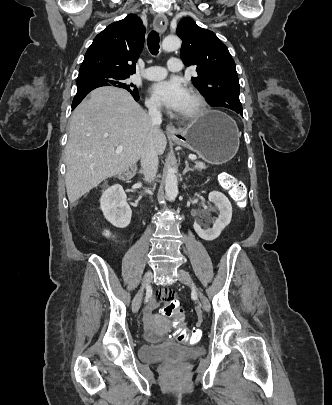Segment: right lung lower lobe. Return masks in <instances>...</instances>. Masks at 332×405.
I'll return each mask as SVG.
<instances>
[{
	"instance_id": "98d812e1",
	"label": "right lung lower lobe",
	"mask_w": 332,
	"mask_h": 405,
	"mask_svg": "<svg viewBox=\"0 0 332 405\" xmlns=\"http://www.w3.org/2000/svg\"><path fill=\"white\" fill-rule=\"evenodd\" d=\"M95 88H97V87H93V88H89V89L84 90V91L77 92V94L75 95V97H74V99H73V102H72V110L75 109V107L84 99V97H85L90 91H92V90L95 89ZM131 94H132V93H131ZM132 96L134 97V99H135L136 101L139 100V95H138V94H132Z\"/></svg>"
}]
</instances>
